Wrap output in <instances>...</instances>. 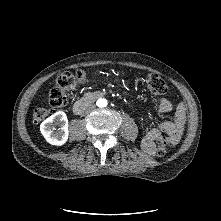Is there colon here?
I'll return each instance as SVG.
<instances>
[{"label": "colon", "instance_id": "obj_1", "mask_svg": "<svg viewBox=\"0 0 221 221\" xmlns=\"http://www.w3.org/2000/svg\"><path fill=\"white\" fill-rule=\"evenodd\" d=\"M86 81V74L83 71L76 72H64L62 73L55 86L50 92L49 103L53 109H59L66 106L68 102L67 92L74 90L83 85ZM146 89L154 95H162L167 92V84L164 79L156 74H149L145 80ZM52 113L51 110L45 108H38L33 113V120L35 123H39L47 118ZM174 144V139L170 134L164 135L160 139L158 147L155 149V153L158 156H164L168 148Z\"/></svg>", "mask_w": 221, "mask_h": 221}]
</instances>
